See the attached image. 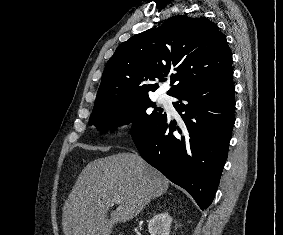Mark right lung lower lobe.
<instances>
[{
  "instance_id": "obj_1",
  "label": "right lung lower lobe",
  "mask_w": 283,
  "mask_h": 235,
  "mask_svg": "<svg viewBox=\"0 0 283 235\" xmlns=\"http://www.w3.org/2000/svg\"><path fill=\"white\" fill-rule=\"evenodd\" d=\"M232 73L174 95L180 125L166 116L133 138L142 158L187 190L202 210L215 196L235 123Z\"/></svg>"
}]
</instances>
